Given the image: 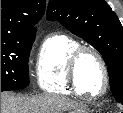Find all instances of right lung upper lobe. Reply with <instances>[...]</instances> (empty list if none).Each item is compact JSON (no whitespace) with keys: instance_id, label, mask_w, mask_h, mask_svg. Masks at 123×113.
<instances>
[{"instance_id":"1","label":"right lung upper lobe","mask_w":123,"mask_h":113,"mask_svg":"<svg viewBox=\"0 0 123 113\" xmlns=\"http://www.w3.org/2000/svg\"><path fill=\"white\" fill-rule=\"evenodd\" d=\"M45 0H1V40L35 36Z\"/></svg>"}]
</instances>
